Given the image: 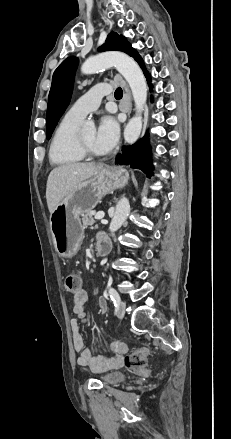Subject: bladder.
I'll return each mask as SVG.
<instances>
[{"instance_id": "obj_1", "label": "bladder", "mask_w": 231, "mask_h": 439, "mask_svg": "<svg viewBox=\"0 0 231 439\" xmlns=\"http://www.w3.org/2000/svg\"><path fill=\"white\" fill-rule=\"evenodd\" d=\"M126 378V375L119 370L110 371L101 376V381L107 385H116L122 382Z\"/></svg>"}]
</instances>
